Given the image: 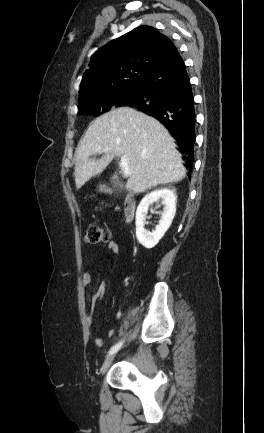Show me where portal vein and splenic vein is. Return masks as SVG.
<instances>
[{"label": "portal vein and splenic vein", "mask_w": 264, "mask_h": 433, "mask_svg": "<svg viewBox=\"0 0 264 433\" xmlns=\"http://www.w3.org/2000/svg\"><path fill=\"white\" fill-rule=\"evenodd\" d=\"M119 166L122 169L124 177H128L129 175H131L132 169H130L129 167V162L127 157H121Z\"/></svg>", "instance_id": "obj_1"}]
</instances>
